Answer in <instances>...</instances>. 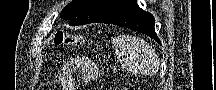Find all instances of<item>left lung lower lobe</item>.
Listing matches in <instances>:
<instances>
[{"mask_svg": "<svg viewBox=\"0 0 216 90\" xmlns=\"http://www.w3.org/2000/svg\"><path fill=\"white\" fill-rule=\"evenodd\" d=\"M94 22L109 23L131 28L148 35L155 39L159 44L161 43L155 33L154 17L150 13L143 11L133 0H130L122 7L107 13Z\"/></svg>", "mask_w": 216, "mask_h": 90, "instance_id": "obj_1", "label": "left lung lower lobe"}]
</instances>
